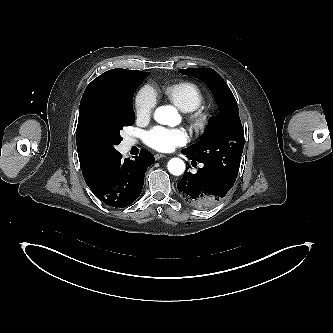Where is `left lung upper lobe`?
Returning a JSON list of instances; mask_svg holds the SVG:
<instances>
[{
	"instance_id": "obj_1",
	"label": "left lung upper lobe",
	"mask_w": 333,
	"mask_h": 333,
	"mask_svg": "<svg viewBox=\"0 0 333 333\" xmlns=\"http://www.w3.org/2000/svg\"><path fill=\"white\" fill-rule=\"evenodd\" d=\"M179 72L205 82L215 95L222 113L221 118L213 120L212 128L200 141L183 151L235 182L244 148V130L231 90L212 68H189Z\"/></svg>"
}]
</instances>
